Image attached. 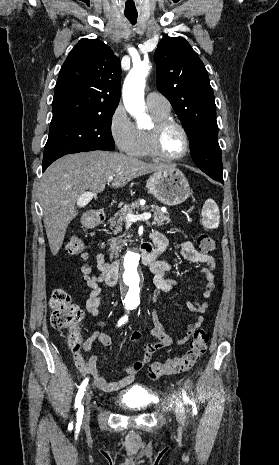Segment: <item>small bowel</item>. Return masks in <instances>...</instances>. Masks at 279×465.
I'll use <instances>...</instances> for the list:
<instances>
[{
    "label": "small bowel",
    "instance_id": "obj_1",
    "mask_svg": "<svg viewBox=\"0 0 279 465\" xmlns=\"http://www.w3.org/2000/svg\"><path fill=\"white\" fill-rule=\"evenodd\" d=\"M151 240L157 251V255H160L167 250L169 242L167 237L162 233L158 231L153 232ZM180 253L184 259L190 262L203 263L205 265L199 273L204 279L203 297L205 299L209 298L215 287L214 272L217 266L215 258L211 254L198 251L191 241H184L181 243ZM109 267L110 263L107 262L105 256L103 254L97 255V268L99 270V274L92 276L87 280L90 293L86 300V309L91 315L96 317L100 313V307L102 304V289L100 284L104 281L107 282ZM172 269V264L164 258L155 259V261L150 265V270L154 275V283L159 292H171L174 289L176 282L169 277V273ZM187 306L191 311L199 313L200 316L194 323L187 326L185 335L177 340L178 345L186 344L195 331L203 326L205 319L202 314L206 312L208 303L206 301H188ZM151 316L153 326L148 329L146 333L156 337L157 341L154 343H142V331L137 330L131 333L130 341L141 345L143 353L135 362L124 367V376L122 378L117 381H107L97 367L96 356H90L88 360H85L81 354H73V361L76 368L81 374H91L94 385L104 392L118 391L132 384L135 376L151 361L154 353L162 348L169 347L173 343L172 337L160 322L156 310L152 311ZM99 324L101 326L107 325L104 321H101ZM96 341L108 350H112L111 338L105 333L94 332L84 342V351H90L92 345Z\"/></svg>",
    "mask_w": 279,
    "mask_h": 465
}]
</instances>
